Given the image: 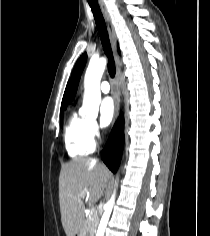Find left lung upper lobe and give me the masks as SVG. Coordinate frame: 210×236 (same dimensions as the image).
<instances>
[{
  "instance_id": "obj_1",
  "label": "left lung upper lobe",
  "mask_w": 210,
  "mask_h": 236,
  "mask_svg": "<svg viewBox=\"0 0 210 236\" xmlns=\"http://www.w3.org/2000/svg\"><path fill=\"white\" fill-rule=\"evenodd\" d=\"M86 60H87V54L84 53L79 58V60L77 61L76 65H75L71 81H70V83L67 84L65 94H64V97H63L62 104H64L65 106H67V104L70 103L75 97L77 87H78V83H79V80H80V76H81V73H82V71L84 69V66L86 64ZM66 94H68V97H67V101L65 102V95Z\"/></svg>"
}]
</instances>
